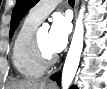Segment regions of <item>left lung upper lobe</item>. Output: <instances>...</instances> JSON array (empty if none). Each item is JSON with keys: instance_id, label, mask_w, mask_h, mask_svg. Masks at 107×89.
Here are the masks:
<instances>
[{"instance_id": "obj_1", "label": "left lung upper lobe", "mask_w": 107, "mask_h": 89, "mask_svg": "<svg viewBox=\"0 0 107 89\" xmlns=\"http://www.w3.org/2000/svg\"><path fill=\"white\" fill-rule=\"evenodd\" d=\"M39 0H17V3L12 12L10 37H12L20 20Z\"/></svg>"}]
</instances>
